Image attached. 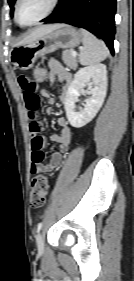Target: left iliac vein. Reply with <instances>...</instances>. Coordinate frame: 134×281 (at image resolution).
Here are the masks:
<instances>
[{
    "label": "left iliac vein",
    "instance_id": "4c4485c4",
    "mask_svg": "<svg viewBox=\"0 0 134 281\" xmlns=\"http://www.w3.org/2000/svg\"><path fill=\"white\" fill-rule=\"evenodd\" d=\"M37 249L39 253H42L44 250V236L42 233H39L36 238Z\"/></svg>",
    "mask_w": 134,
    "mask_h": 281
}]
</instances>
